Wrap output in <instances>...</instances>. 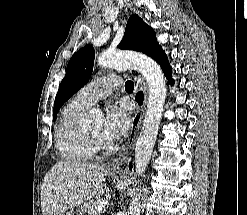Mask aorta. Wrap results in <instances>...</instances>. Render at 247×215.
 Returning a JSON list of instances; mask_svg holds the SVG:
<instances>
[{
    "label": "aorta",
    "instance_id": "1",
    "mask_svg": "<svg viewBox=\"0 0 247 215\" xmlns=\"http://www.w3.org/2000/svg\"><path fill=\"white\" fill-rule=\"evenodd\" d=\"M98 64L103 67L117 69L133 68L145 78L149 88V98L145 119L135 146V168L138 176H144L156 142L159 126L164 111L166 99V83L160 66L152 58L134 52L113 51L104 52L98 57ZM102 118V112L93 108L86 118L88 124L97 123ZM139 187V186H137ZM141 191L132 199L128 215H140Z\"/></svg>",
    "mask_w": 247,
    "mask_h": 215
}]
</instances>
